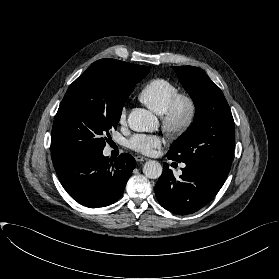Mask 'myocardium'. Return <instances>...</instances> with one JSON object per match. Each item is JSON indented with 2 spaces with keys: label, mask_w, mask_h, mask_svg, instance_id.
<instances>
[{
  "label": "myocardium",
  "mask_w": 279,
  "mask_h": 279,
  "mask_svg": "<svg viewBox=\"0 0 279 279\" xmlns=\"http://www.w3.org/2000/svg\"><path fill=\"white\" fill-rule=\"evenodd\" d=\"M198 114V104L189 94H177L162 115V128L170 137H181L193 126Z\"/></svg>",
  "instance_id": "1"
}]
</instances>
